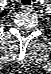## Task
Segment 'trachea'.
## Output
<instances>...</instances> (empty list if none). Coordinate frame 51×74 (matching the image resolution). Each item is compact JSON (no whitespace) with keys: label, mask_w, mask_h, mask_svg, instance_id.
I'll list each match as a JSON object with an SVG mask.
<instances>
[{"label":"trachea","mask_w":51,"mask_h":74,"mask_svg":"<svg viewBox=\"0 0 51 74\" xmlns=\"http://www.w3.org/2000/svg\"><path fill=\"white\" fill-rule=\"evenodd\" d=\"M23 2V4H28V3H25L24 1H22Z\"/></svg>","instance_id":"obj_1"}]
</instances>
